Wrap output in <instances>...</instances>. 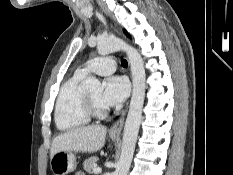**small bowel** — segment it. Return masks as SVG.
<instances>
[{
  "instance_id": "obj_1",
  "label": "small bowel",
  "mask_w": 233,
  "mask_h": 175,
  "mask_svg": "<svg viewBox=\"0 0 233 175\" xmlns=\"http://www.w3.org/2000/svg\"><path fill=\"white\" fill-rule=\"evenodd\" d=\"M76 175H84L83 173H81V172H79V173H77Z\"/></svg>"
}]
</instances>
